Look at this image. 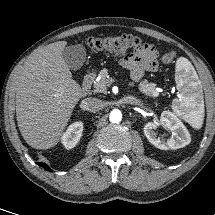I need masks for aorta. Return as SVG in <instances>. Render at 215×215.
Listing matches in <instances>:
<instances>
[{
	"mask_svg": "<svg viewBox=\"0 0 215 215\" xmlns=\"http://www.w3.org/2000/svg\"><path fill=\"white\" fill-rule=\"evenodd\" d=\"M109 118H110L111 122L118 123L122 119V113H121V111L114 109L111 111Z\"/></svg>",
	"mask_w": 215,
	"mask_h": 215,
	"instance_id": "aorta-1",
	"label": "aorta"
}]
</instances>
